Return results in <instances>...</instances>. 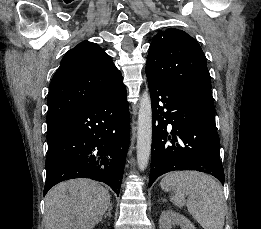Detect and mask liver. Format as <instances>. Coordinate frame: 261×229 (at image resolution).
Returning <instances> with one entry per match:
<instances>
[{"label":"liver","mask_w":261,"mask_h":229,"mask_svg":"<svg viewBox=\"0 0 261 229\" xmlns=\"http://www.w3.org/2000/svg\"><path fill=\"white\" fill-rule=\"evenodd\" d=\"M110 193L91 179L55 185L45 197V229H94L110 205Z\"/></svg>","instance_id":"6515ba94"}]
</instances>
